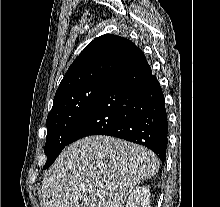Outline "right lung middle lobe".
<instances>
[{
  "mask_svg": "<svg viewBox=\"0 0 220 207\" xmlns=\"http://www.w3.org/2000/svg\"><path fill=\"white\" fill-rule=\"evenodd\" d=\"M106 82L107 79L97 80L54 98L46 120L47 138L44 151L47 162L43 169L48 168L69 144L71 135L92 109Z\"/></svg>",
  "mask_w": 220,
  "mask_h": 207,
  "instance_id": "dd1d6c3e",
  "label": "right lung middle lobe"
}]
</instances>
